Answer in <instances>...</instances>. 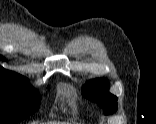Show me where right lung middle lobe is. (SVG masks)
<instances>
[{
  "label": "right lung middle lobe",
  "mask_w": 156,
  "mask_h": 124,
  "mask_svg": "<svg viewBox=\"0 0 156 124\" xmlns=\"http://www.w3.org/2000/svg\"><path fill=\"white\" fill-rule=\"evenodd\" d=\"M40 106V94L27 79L0 76V124H15Z\"/></svg>",
  "instance_id": "obj_1"
}]
</instances>
